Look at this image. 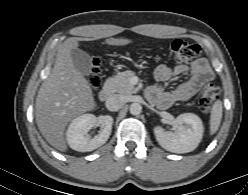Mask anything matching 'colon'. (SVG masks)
Segmentation results:
<instances>
[{"label": "colon", "mask_w": 248, "mask_h": 195, "mask_svg": "<svg viewBox=\"0 0 248 195\" xmlns=\"http://www.w3.org/2000/svg\"><path fill=\"white\" fill-rule=\"evenodd\" d=\"M169 51L177 63H188L202 55V49L198 44L182 39L172 41L169 46ZM89 83L93 88L98 87L100 84L99 63L96 60H94L91 65ZM219 94L220 89L217 85L213 83L203 85L199 99L201 110L205 113L209 112Z\"/></svg>", "instance_id": "obj_1"}]
</instances>
